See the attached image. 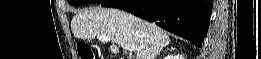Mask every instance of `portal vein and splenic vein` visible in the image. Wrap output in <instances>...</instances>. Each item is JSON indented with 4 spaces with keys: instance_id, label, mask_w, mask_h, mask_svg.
Listing matches in <instances>:
<instances>
[{
    "instance_id": "portal-vein-and-splenic-vein-1",
    "label": "portal vein and splenic vein",
    "mask_w": 261,
    "mask_h": 59,
    "mask_svg": "<svg viewBox=\"0 0 261 59\" xmlns=\"http://www.w3.org/2000/svg\"><path fill=\"white\" fill-rule=\"evenodd\" d=\"M98 39L100 41H103V42H107V41L111 40L110 37H108V36H101V35H98ZM119 44L122 46V48H124L125 50H128L130 52H134V51L137 50V48L135 46H133V45L124 44V43H121V42Z\"/></svg>"
}]
</instances>
